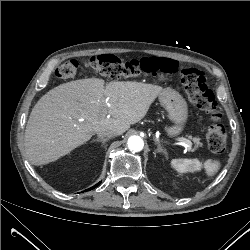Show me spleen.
Returning a JSON list of instances; mask_svg holds the SVG:
<instances>
[{
	"label": "spleen",
	"mask_w": 250,
	"mask_h": 250,
	"mask_svg": "<svg viewBox=\"0 0 250 250\" xmlns=\"http://www.w3.org/2000/svg\"><path fill=\"white\" fill-rule=\"evenodd\" d=\"M171 166L179 173L200 171L202 163L198 159H172ZM219 161L208 160L204 168L208 176H214L220 169Z\"/></svg>",
	"instance_id": "spleen-1"
}]
</instances>
